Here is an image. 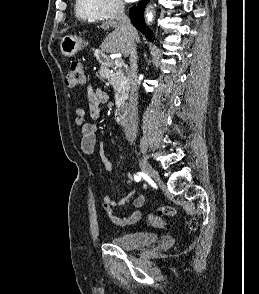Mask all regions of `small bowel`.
<instances>
[{
    "label": "small bowel",
    "instance_id": "c3829d8e",
    "mask_svg": "<svg viewBox=\"0 0 259 294\" xmlns=\"http://www.w3.org/2000/svg\"><path fill=\"white\" fill-rule=\"evenodd\" d=\"M88 99V113L92 119H98L101 114L102 105L108 100V95L102 89H94L92 87L87 88ZM86 112L83 108H77L75 110V124L79 127L81 133V149L84 154L91 156L94 154L96 146V134L97 126L95 124L86 122ZM107 169L111 170L113 165L110 162L106 164ZM126 184L132 183V177L130 174L124 179ZM129 195L122 197L119 200H114L110 196L105 195L102 200V207L108 216L111 224L123 227L136 223L141 218V207L145 202V196L139 194L133 200V210L124 216H118L114 213V207L123 205L128 200Z\"/></svg>",
    "mask_w": 259,
    "mask_h": 294
}]
</instances>
